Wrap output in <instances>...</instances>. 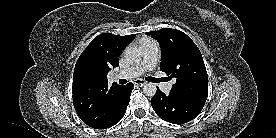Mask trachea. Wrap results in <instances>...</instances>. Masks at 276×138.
<instances>
[{"label": "trachea", "mask_w": 276, "mask_h": 138, "mask_svg": "<svg viewBox=\"0 0 276 138\" xmlns=\"http://www.w3.org/2000/svg\"><path fill=\"white\" fill-rule=\"evenodd\" d=\"M146 80L149 81V82L157 83V82H160L162 79L154 78V77H147ZM119 83H120V84H126V83H127V80H125V79H120V80H119Z\"/></svg>", "instance_id": "trachea-1"}]
</instances>
